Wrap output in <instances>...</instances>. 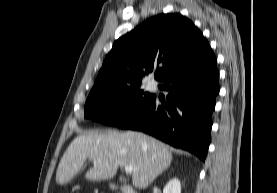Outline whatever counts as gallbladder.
Listing matches in <instances>:
<instances>
[{
    "label": "gallbladder",
    "mask_w": 277,
    "mask_h": 193,
    "mask_svg": "<svg viewBox=\"0 0 277 193\" xmlns=\"http://www.w3.org/2000/svg\"><path fill=\"white\" fill-rule=\"evenodd\" d=\"M120 181H121V182H124L125 179H124L123 177H120Z\"/></svg>",
    "instance_id": "1"
}]
</instances>
